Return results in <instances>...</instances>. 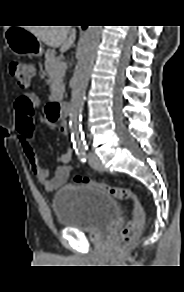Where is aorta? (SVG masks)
<instances>
[{
  "instance_id": "obj_1",
  "label": "aorta",
  "mask_w": 184,
  "mask_h": 292,
  "mask_svg": "<svg viewBox=\"0 0 184 292\" xmlns=\"http://www.w3.org/2000/svg\"><path fill=\"white\" fill-rule=\"evenodd\" d=\"M101 32L102 26H88L77 53V65L73 76L70 101V123L77 143L82 142L80 118Z\"/></svg>"
}]
</instances>
